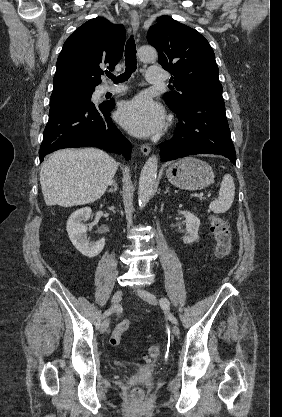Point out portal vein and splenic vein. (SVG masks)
Segmentation results:
<instances>
[{
  "instance_id": "18ae733b",
  "label": "portal vein and splenic vein",
  "mask_w": 282,
  "mask_h": 417,
  "mask_svg": "<svg viewBox=\"0 0 282 417\" xmlns=\"http://www.w3.org/2000/svg\"><path fill=\"white\" fill-rule=\"evenodd\" d=\"M203 196L209 197L211 199H214L215 198V195L212 194V193H210V192L203 193Z\"/></svg>"
}]
</instances>
